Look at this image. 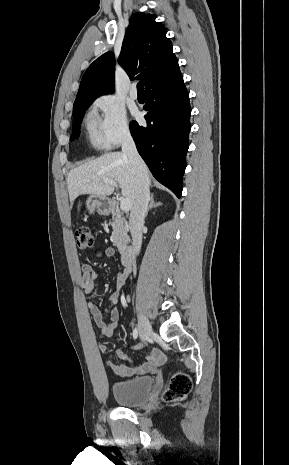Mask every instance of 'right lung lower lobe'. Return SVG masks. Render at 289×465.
I'll return each instance as SVG.
<instances>
[{"label":"right lung lower lobe","mask_w":289,"mask_h":465,"mask_svg":"<svg viewBox=\"0 0 289 465\" xmlns=\"http://www.w3.org/2000/svg\"><path fill=\"white\" fill-rule=\"evenodd\" d=\"M146 100L147 126L132 121L131 134L153 176L180 198L191 127L183 78L148 90Z\"/></svg>","instance_id":"right-lung-lower-lobe-1"}]
</instances>
